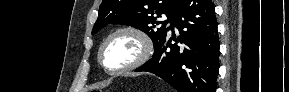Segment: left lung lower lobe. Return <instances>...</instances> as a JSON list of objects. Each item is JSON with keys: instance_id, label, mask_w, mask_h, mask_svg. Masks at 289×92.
Returning <instances> with one entry per match:
<instances>
[{"instance_id": "0a47b994", "label": "left lung lower lobe", "mask_w": 289, "mask_h": 92, "mask_svg": "<svg viewBox=\"0 0 289 92\" xmlns=\"http://www.w3.org/2000/svg\"><path fill=\"white\" fill-rule=\"evenodd\" d=\"M172 37L136 71L156 74L178 92H215L219 70V40L211 0H181L171 17ZM173 25L180 36L175 37ZM175 41L171 44V41Z\"/></svg>"}]
</instances>
